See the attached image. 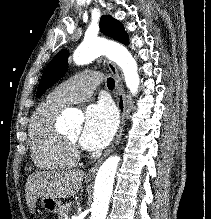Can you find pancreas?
Instances as JSON below:
<instances>
[{
    "mask_svg": "<svg viewBox=\"0 0 211 219\" xmlns=\"http://www.w3.org/2000/svg\"><path fill=\"white\" fill-rule=\"evenodd\" d=\"M70 210H71V203L64 204L61 207V210L59 211L58 219H65V217L68 216Z\"/></svg>",
    "mask_w": 211,
    "mask_h": 219,
    "instance_id": "pancreas-1",
    "label": "pancreas"
}]
</instances>
